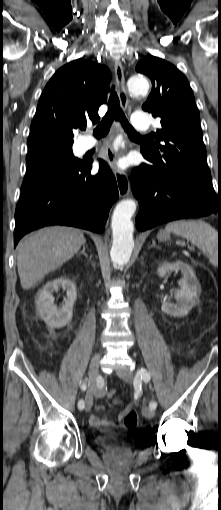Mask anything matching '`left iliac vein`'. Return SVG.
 Segmentation results:
<instances>
[{"label":"left iliac vein","mask_w":221,"mask_h":510,"mask_svg":"<svg viewBox=\"0 0 221 510\" xmlns=\"http://www.w3.org/2000/svg\"><path fill=\"white\" fill-rule=\"evenodd\" d=\"M118 376L127 383H131L134 378V375L131 371H119ZM142 414L147 419H152L154 417V411L147 406L143 407Z\"/></svg>","instance_id":"left-iliac-vein-1"}]
</instances>
